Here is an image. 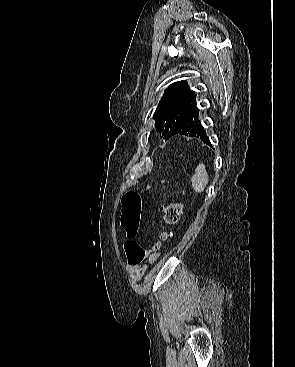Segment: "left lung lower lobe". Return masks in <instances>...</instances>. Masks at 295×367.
<instances>
[{"instance_id": "left-lung-lower-lobe-1", "label": "left lung lower lobe", "mask_w": 295, "mask_h": 367, "mask_svg": "<svg viewBox=\"0 0 295 367\" xmlns=\"http://www.w3.org/2000/svg\"><path fill=\"white\" fill-rule=\"evenodd\" d=\"M199 109L195 105L181 121V123L175 128L172 136L184 135L188 137L200 138L204 143L211 145L206 131L198 119ZM171 136V137H172Z\"/></svg>"}]
</instances>
